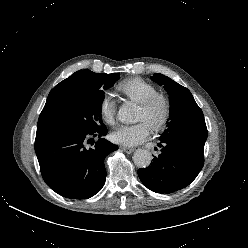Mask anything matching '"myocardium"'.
<instances>
[{
    "label": "myocardium",
    "mask_w": 248,
    "mask_h": 248,
    "mask_svg": "<svg viewBox=\"0 0 248 248\" xmlns=\"http://www.w3.org/2000/svg\"><path fill=\"white\" fill-rule=\"evenodd\" d=\"M157 105L162 106V115L157 121L153 123L152 129L154 131H160L164 129L171 119L172 103L170 98L164 94L156 93L138 103V106L145 111H151Z\"/></svg>",
    "instance_id": "1"
}]
</instances>
